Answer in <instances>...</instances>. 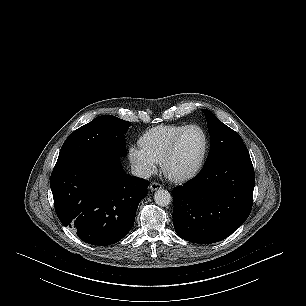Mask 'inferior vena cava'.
Segmentation results:
<instances>
[{
    "mask_svg": "<svg viewBox=\"0 0 306 306\" xmlns=\"http://www.w3.org/2000/svg\"><path fill=\"white\" fill-rule=\"evenodd\" d=\"M131 172L134 176L148 179L151 176V171L142 164H134L131 166Z\"/></svg>",
    "mask_w": 306,
    "mask_h": 306,
    "instance_id": "obj_1",
    "label": "inferior vena cava"
}]
</instances>
